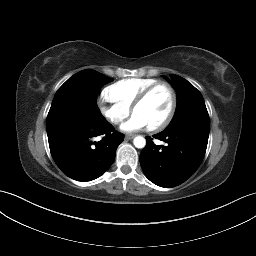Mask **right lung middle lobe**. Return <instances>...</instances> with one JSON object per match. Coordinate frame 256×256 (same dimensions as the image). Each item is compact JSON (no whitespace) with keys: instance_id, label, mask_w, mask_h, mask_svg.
Masks as SVG:
<instances>
[{"instance_id":"obj_1","label":"right lung middle lobe","mask_w":256,"mask_h":256,"mask_svg":"<svg viewBox=\"0 0 256 256\" xmlns=\"http://www.w3.org/2000/svg\"><path fill=\"white\" fill-rule=\"evenodd\" d=\"M111 81L92 69L74 74L56 92L47 119L58 115L104 118L97 106V95Z\"/></svg>"}]
</instances>
